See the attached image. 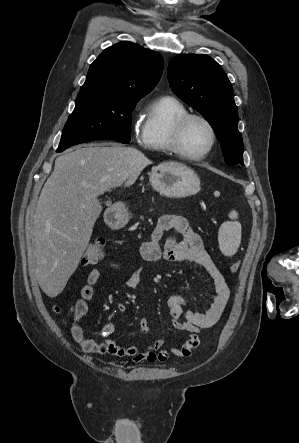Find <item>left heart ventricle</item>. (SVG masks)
<instances>
[{
	"mask_svg": "<svg viewBox=\"0 0 299 443\" xmlns=\"http://www.w3.org/2000/svg\"><path fill=\"white\" fill-rule=\"evenodd\" d=\"M211 140L208 127L199 119H191L185 126L182 135L183 149L193 155L203 153Z\"/></svg>",
	"mask_w": 299,
	"mask_h": 443,
	"instance_id": "left-heart-ventricle-1",
	"label": "left heart ventricle"
}]
</instances>
